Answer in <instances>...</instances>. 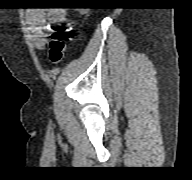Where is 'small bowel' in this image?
Returning <instances> with one entry per match:
<instances>
[{
	"label": "small bowel",
	"instance_id": "1",
	"mask_svg": "<svg viewBox=\"0 0 192 180\" xmlns=\"http://www.w3.org/2000/svg\"><path fill=\"white\" fill-rule=\"evenodd\" d=\"M25 21L29 27L32 41L38 50H44L47 45L46 31L61 24L70 25L65 9H30L26 12Z\"/></svg>",
	"mask_w": 192,
	"mask_h": 180
}]
</instances>
